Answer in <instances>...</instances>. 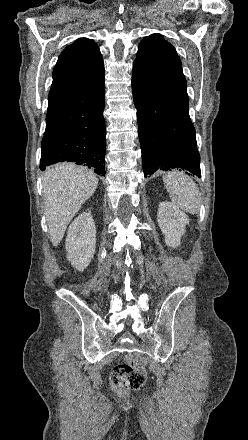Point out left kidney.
Masks as SVG:
<instances>
[{
  "mask_svg": "<svg viewBox=\"0 0 248 440\" xmlns=\"http://www.w3.org/2000/svg\"><path fill=\"white\" fill-rule=\"evenodd\" d=\"M157 221L167 246L177 248L189 224V217L174 204L163 201L159 204Z\"/></svg>",
  "mask_w": 248,
  "mask_h": 440,
  "instance_id": "5707ae66",
  "label": "left kidney"
}]
</instances>
